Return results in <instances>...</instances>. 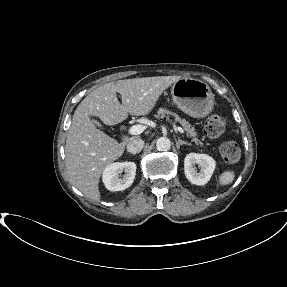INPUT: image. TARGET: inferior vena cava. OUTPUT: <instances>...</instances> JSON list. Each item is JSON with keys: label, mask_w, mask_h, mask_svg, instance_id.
<instances>
[{"label": "inferior vena cava", "mask_w": 287, "mask_h": 287, "mask_svg": "<svg viewBox=\"0 0 287 287\" xmlns=\"http://www.w3.org/2000/svg\"><path fill=\"white\" fill-rule=\"evenodd\" d=\"M144 147V141L140 138H133L127 144V151L131 154L139 153Z\"/></svg>", "instance_id": "1"}]
</instances>
